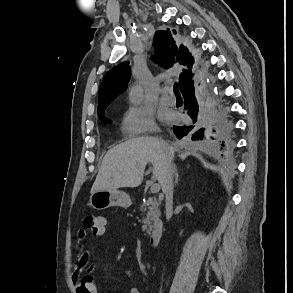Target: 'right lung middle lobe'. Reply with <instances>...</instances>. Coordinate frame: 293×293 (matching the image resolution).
I'll list each match as a JSON object with an SVG mask.
<instances>
[{"mask_svg":"<svg viewBox=\"0 0 293 293\" xmlns=\"http://www.w3.org/2000/svg\"><path fill=\"white\" fill-rule=\"evenodd\" d=\"M99 118H100L103 122H105V123H111V122H112L111 120H109L108 118H106V117H104V116H99Z\"/></svg>","mask_w":293,"mask_h":293,"instance_id":"1","label":"right lung middle lobe"}]
</instances>
